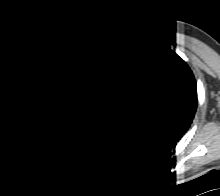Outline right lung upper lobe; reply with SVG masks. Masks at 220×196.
<instances>
[{
    "label": "right lung upper lobe",
    "mask_w": 220,
    "mask_h": 196,
    "mask_svg": "<svg viewBox=\"0 0 220 196\" xmlns=\"http://www.w3.org/2000/svg\"><path fill=\"white\" fill-rule=\"evenodd\" d=\"M100 55L92 43H80L54 61V72L43 92L46 117L52 131L69 142L89 134V119L82 110L83 79Z\"/></svg>",
    "instance_id": "1"
}]
</instances>
